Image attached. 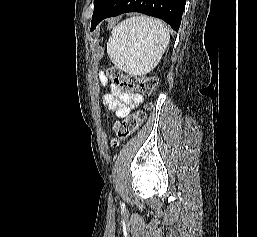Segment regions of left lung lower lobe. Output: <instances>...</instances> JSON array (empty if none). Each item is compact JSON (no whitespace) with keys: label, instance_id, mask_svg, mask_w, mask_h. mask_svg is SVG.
I'll return each mask as SVG.
<instances>
[{"label":"left lung lower lobe","instance_id":"0a47b994","mask_svg":"<svg viewBox=\"0 0 257 237\" xmlns=\"http://www.w3.org/2000/svg\"><path fill=\"white\" fill-rule=\"evenodd\" d=\"M186 0H108L99 14L92 19L94 30L103 19L126 12H140L163 19L178 31Z\"/></svg>","mask_w":257,"mask_h":237}]
</instances>
